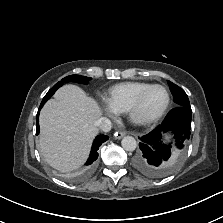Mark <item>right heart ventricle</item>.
I'll use <instances>...</instances> for the list:
<instances>
[{"label":"right heart ventricle","mask_w":223,"mask_h":223,"mask_svg":"<svg viewBox=\"0 0 223 223\" xmlns=\"http://www.w3.org/2000/svg\"><path fill=\"white\" fill-rule=\"evenodd\" d=\"M152 84L142 81L123 82L112 86L107 95V103L116 112H127L139 94Z\"/></svg>","instance_id":"1"}]
</instances>
